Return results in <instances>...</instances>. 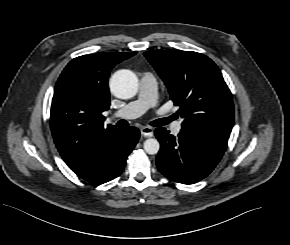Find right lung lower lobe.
I'll use <instances>...</instances> for the list:
<instances>
[{
    "instance_id": "obj_1",
    "label": "right lung lower lobe",
    "mask_w": 290,
    "mask_h": 245,
    "mask_svg": "<svg viewBox=\"0 0 290 245\" xmlns=\"http://www.w3.org/2000/svg\"><path fill=\"white\" fill-rule=\"evenodd\" d=\"M139 136L140 132L135 127L120 129L104 154L93 164L74 172L97 185L113 180L124 170L126 159L138 142Z\"/></svg>"
}]
</instances>
